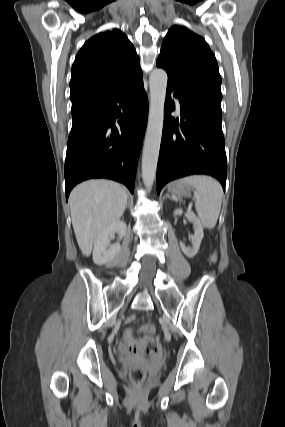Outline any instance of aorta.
Here are the masks:
<instances>
[{"mask_svg":"<svg viewBox=\"0 0 285 427\" xmlns=\"http://www.w3.org/2000/svg\"><path fill=\"white\" fill-rule=\"evenodd\" d=\"M168 76L163 69H154L149 77L150 106L142 154V179L149 189L153 186L163 130L164 105Z\"/></svg>","mask_w":285,"mask_h":427,"instance_id":"obj_1","label":"aorta"}]
</instances>
